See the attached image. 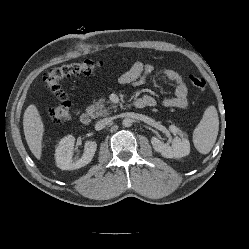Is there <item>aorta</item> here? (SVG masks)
Instances as JSON below:
<instances>
[{
    "mask_svg": "<svg viewBox=\"0 0 249 249\" xmlns=\"http://www.w3.org/2000/svg\"><path fill=\"white\" fill-rule=\"evenodd\" d=\"M122 124L124 127H130L132 125V120L130 118H125Z\"/></svg>",
    "mask_w": 249,
    "mask_h": 249,
    "instance_id": "aorta-1",
    "label": "aorta"
}]
</instances>
